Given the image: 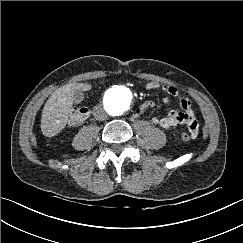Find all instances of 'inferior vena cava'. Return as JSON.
Returning <instances> with one entry per match:
<instances>
[{
    "mask_svg": "<svg viewBox=\"0 0 243 243\" xmlns=\"http://www.w3.org/2000/svg\"><path fill=\"white\" fill-rule=\"evenodd\" d=\"M93 115L96 118V120H99V121H104L107 119V113L105 112V110L102 107H96Z\"/></svg>",
    "mask_w": 243,
    "mask_h": 243,
    "instance_id": "1",
    "label": "inferior vena cava"
}]
</instances>
